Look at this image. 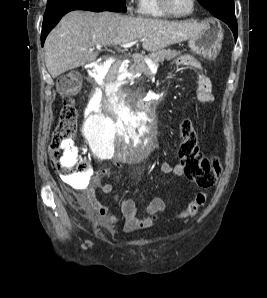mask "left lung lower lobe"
Here are the masks:
<instances>
[{"label": "left lung lower lobe", "instance_id": "1", "mask_svg": "<svg viewBox=\"0 0 267 298\" xmlns=\"http://www.w3.org/2000/svg\"><path fill=\"white\" fill-rule=\"evenodd\" d=\"M222 21H224L228 26L231 28L235 39H237V21L234 15H228V16H222L221 18Z\"/></svg>", "mask_w": 267, "mask_h": 298}]
</instances>
